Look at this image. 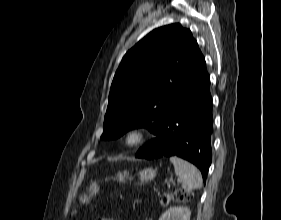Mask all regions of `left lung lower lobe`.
I'll return each instance as SVG.
<instances>
[{"label":"left lung lower lobe","instance_id":"obj_1","mask_svg":"<svg viewBox=\"0 0 281 220\" xmlns=\"http://www.w3.org/2000/svg\"><path fill=\"white\" fill-rule=\"evenodd\" d=\"M212 132L210 77L203 59L179 87L175 103L164 117L156 138L140 148L135 157H181L200 169L205 182L212 161Z\"/></svg>","mask_w":281,"mask_h":220}]
</instances>
